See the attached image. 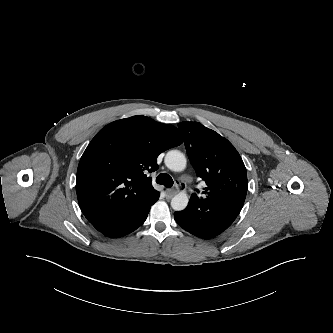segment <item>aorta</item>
<instances>
[{"label":"aorta","mask_w":333,"mask_h":333,"mask_svg":"<svg viewBox=\"0 0 333 333\" xmlns=\"http://www.w3.org/2000/svg\"><path fill=\"white\" fill-rule=\"evenodd\" d=\"M165 165L172 171L180 172L186 167V157L178 150H171L165 156ZM188 195L184 192H179L171 200V206L175 211L184 210L188 204Z\"/></svg>","instance_id":"1"}]
</instances>
